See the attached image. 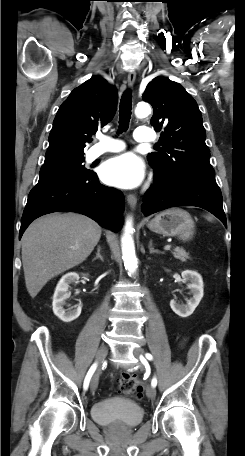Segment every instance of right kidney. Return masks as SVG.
Returning <instances> with one entry per match:
<instances>
[{"instance_id":"ca27d5eb","label":"right kidney","mask_w":245,"mask_h":456,"mask_svg":"<svg viewBox=\"0 0 245 456\" xmlns=\"http://www.w3.org/2000/svg\"><path fill=\"white\" fill-rule=\"evenodd\" d=\"M79 275L75 272H70L62 276L58 282L53 295V312L63 322H71L78 318L81 314L82 306L79 305L75 309H64L66 299L69 297L68 288L71 283L78 282Z\"/></svg>"}]
</instances>
